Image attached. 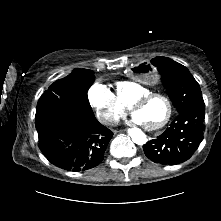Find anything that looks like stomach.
<instances>
[{"mask_svg": "<svg viewBox=\"0 0 221 221\" xmlns=\"http://www.w3.org/2000/svg\"><path fill=\"white\" fill-rule=\"evenodd\" d=\"M130 74L134 81L147 85L157 83L160 78L158 69L145 60H140L133 64L130 69Z\"/></svg>", "mask_w": 221, "mask_h": 221, "instance_id": "obj_1", "label": "stomach"}]
</instances>
